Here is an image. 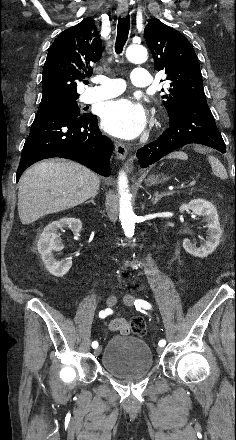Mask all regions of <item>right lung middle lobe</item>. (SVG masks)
Masks as SVG:
<instances>
[{"mask_svg":"<svg viewBox=\"0 0 236 440\" xmlns=\"http://www.w3.org/2000/svg\"><path fill=\"white\" fill-rule=\"evenodd\" d=\"M40 109L60 110V111L69 112V113H72L75 115H81L80 108L78 107L76 101L56 104V105L47 106V107H42V108H39V110Z\"/></svg>","mask_w":236,"mask_h":440,"instance_id":"1","label":"right lung middle lobe"}]
</instances>
